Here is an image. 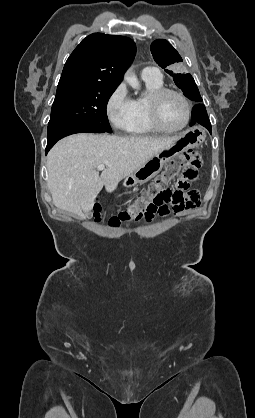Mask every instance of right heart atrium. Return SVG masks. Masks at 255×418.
Returning <instances> with one entry per match:
<instances>
[{
	"instance_id": "obj_1",
	"label": "right heart atrium",
	"mask_w": 255,
	"mask_h": 418,
	"mask_svg": "<svg viewBox=\"0 0 255 418\" xmlns=\"http://www.w3.org/2000/svg\"><path fill=\"white\" fill-rule=\"evenodd\" d=\"M106 116L111 126L120 131H128L134 113V100L129 96L124 84L118 85L107 99Z\"/></svg>"
}]
</instances>
